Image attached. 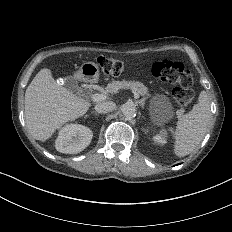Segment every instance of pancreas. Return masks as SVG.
Segmentation results:
<instances>
[{
  "label": "pancreas",
  "instance_id": "1",
  "mask_svg": "<svg viewBox=\"0 0 232 232\" xmlns=\"http://www.w3.org/2000/svg\"><path fill=\"white\" fill-rule=\"evenodd\" d=\"M119 89H131L133 93H137L143 97L142 100H146L151 97L150 92L148 91L147 86L143 85L140 82L135 83H126L125 81H114L107 85L106 91L108 94L117 93Z\"/></svg>",
  "mask_w": 232,
  "mask_h": 232
}]
</instances>
